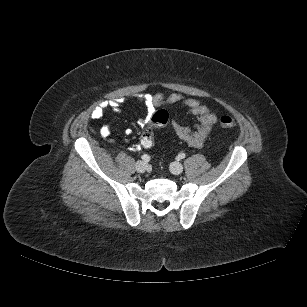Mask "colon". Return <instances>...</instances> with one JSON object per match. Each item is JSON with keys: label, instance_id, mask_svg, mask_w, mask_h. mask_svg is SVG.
Masks as SVG:
<instances>
[{"label": "colon", "instance_id": "5ec220e1", "mask_svg": "<svg viewBox=\"0 0 307 307\" xmlns=\"http://www.w3.org/2000/svg\"><path fill=\"white\" fill-rule=\"evenodd\" d=\"M168 119L169 114L164 109L153 113L151 117V125L142 132L140 137V143L143 147L150 148L154 145V130L167 124ZM219 123L221 127L226 129H231L235 126V122L230 116H222Z\"/></svg>", "mask_w": 307, "mask_h": 307}]
</instances>
